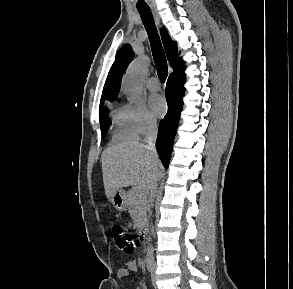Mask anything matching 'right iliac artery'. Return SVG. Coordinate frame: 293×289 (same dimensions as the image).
Returning a JSON list of instances; mask_svg holds the SVG:
<instances>
[{"instance_id":"1","label":"right iliac artery","mask_w":293,"mask_h":289,"mask_svg":"<svg viewBox=\"0 0 293 289\" xmlns=\"http://www.w3.org/2000/svg\"><path fill=\"white\" fill-rule=\"evenodd\" d=\"M145 263H146V268H147L148 272H151L152 259L151 258H146Z\"/></svg>"}]
</instances>
